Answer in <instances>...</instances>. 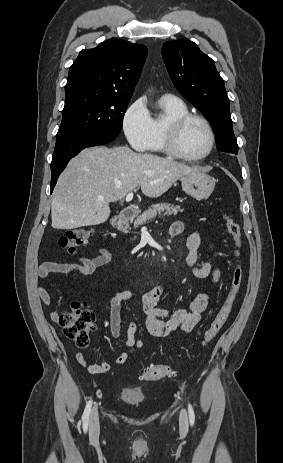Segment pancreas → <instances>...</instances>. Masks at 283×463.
<instances>
[{"mask_svg":"<svg viewBox=\"0 0 283 463\" xmlns=\"http://www.w3.org/2000/svg\"><path fill=\"white\" fill-rule=\"evenodd\" d=\"M178 212H183L182 209H180L179 206H174L171 205L170 203H158L152 205L151 208L148 210L144 211L141 215L137 216V218L134 221V228H137L146 222H149L153 218H155L158 214L164 213V215H176ZM120 231L124 233H129L131 230V227L129 224H125L121 226Z\"/></svg>","mask_w":283,"mask_h":463,"instance_id":"1","label":"pancreas"}]
</instances>
